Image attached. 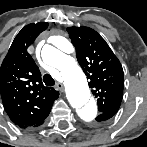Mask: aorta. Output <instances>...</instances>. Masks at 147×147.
Instances as JSON below:
<instances>
[{
  "instance_id": "obj_1",
  "label": "aorta",
  "mask_w": 147,
  "mask_h": 147,
  "mask_svg": "<svg viewBox=\"0 0 147 147\" xmlns=\"http://www.w3.org/2000/svg\"><path fill=\"white\" fill-rule=\"evenodd\" d=\"M42 58L60 71L71 106L85 120L92 119L96 115V104L90 99L86 76L75 59L50 45L43 47Z\"/></svg>"
}]
</instances>
